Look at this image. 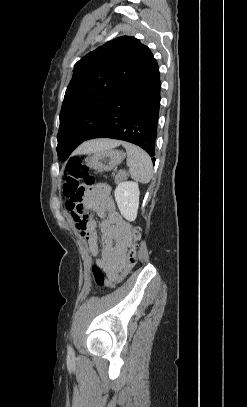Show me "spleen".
Wrapping results in <instances>:
<instances>
[{
	"label": "spleen",
	"mask_w": 247,
	"mask_h": 407,
	"mask_svg": "<svg viewBox=\"0 0 247 407\" xmlns=\"http://www.w3.org/2000/svg\"><path fill=\"white\" fill-rule=\"evenodd\" d=\"M127 151V166L132 179L146 184L150 182L153 175V167L150 156L140 147L122 142Z\"/></svg>",
	"instance_id": "3e777b00"
}]
</instances>
